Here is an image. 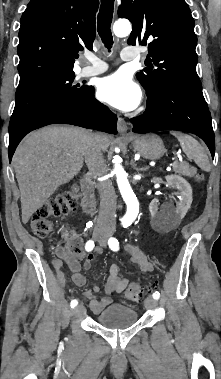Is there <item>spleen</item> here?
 I'll use <instances>...</instances> for the list:
<instances>
[{
    "mask_svg": "<svg viewBox=\"0 0 221 379\" xmlns=\"http://www.w3.org/2000/svg\"><path fill=\"white\" fill-rule=\"evenodd\" d=\"M172 134L180 142L182 150L186 154L187 158L189 160H194V162L203 171L209 172L211 168L209 164V159L202 145L192 136L182 134L179 132H173Z\"/></svg>",
    "mask_w": 221,
    "mask_h": 379,
    "instance_id": "obj_1",
    "label": "spleen"
}]
</instances>
